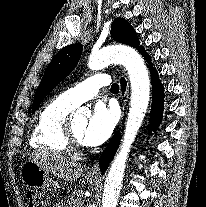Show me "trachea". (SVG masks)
Here are the masks:
<instances>
[{"label": "trachea", "mask_w": 206, "mask_h": 207, "mask_svg": "<svg viewBox=\"0 0 206 207\" xmlns=\"http://www.w3.org/2000/svg\"><path fill=\"white\" fill-rule=\"evenodd\" d=\"M111 92L118 93L119 92V85L116 84V83L112 84V86H111Z\"/></svg>", "instance_id": "trachea-1"}]
</instances>
